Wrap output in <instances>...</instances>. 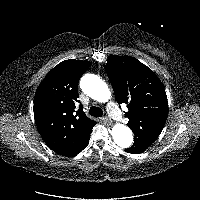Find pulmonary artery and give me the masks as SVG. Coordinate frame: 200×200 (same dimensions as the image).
<instances>
[{"mask_svg": "<svg viewBox=\"0 0 200 200\" xmlns=\"http://www.w3.org/2000/svg\"><path fill=\"white\" fill-rule=\"evenodd\" d=\"M110 114L117 120V121H123L124 115L120 113L114 106L113 103L109 105Z\"/></svg>", "mask_w": 200, "mask_h": 200, "instance_id": "e3ab8cb5", "label": "pulmonary artery"}]
</instances>
